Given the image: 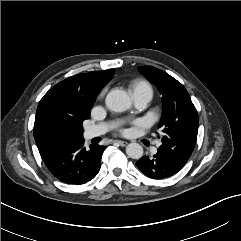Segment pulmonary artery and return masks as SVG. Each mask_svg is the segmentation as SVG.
Wrapping results in <instances>:
<instances>
[{"instance_id": "pulmonary-artery-1", "label": "pulmonary artery", "mask_w": 241, "mask_h": 241, "mask_svg": "<svg viewBox=\"0 0 241 241\" xmlns=\"http://www.w3.org/2000/svg\"><path fill=\"white\" fill-rule=\"evenodd\" d=\"M134 102L137 108H144L150 102L152 93L147 90H141L133 94ZM107 129V125L99 124L87 128L84 131L85 139H91L104 133ZM156 151V149L154 150Z\"/></svg>"}]
</instances>
